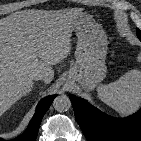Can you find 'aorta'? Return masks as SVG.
Segmentation results:
<instances>
[{
  "instance_id": "obj_1",
  "label": "aorta",
  "mask_w": 141,
  "mask_h": 141,
  "mask_svg": "<svg viewBox=\"0 0 141 141\" xmlns=\"http://www.w3.org/2000/svg\"><path fill=\"white\" fill-rule=\"evenodd\" d=\"M53 107L58 112H66L71 108V101L66 95L57 96L53 101Z\"/></svg>"
}]
</instances>
